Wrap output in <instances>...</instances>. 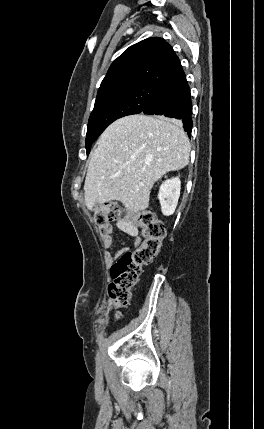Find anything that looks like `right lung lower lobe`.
<instances>
[{
	"label": "right lung lower lobe",
	"mask_w": 264,
	"mask_h": 429,
	"mask_svg": "<svg viewBox=\"0 0 264 429\" xmlns=\"http://www.w3.org/2000/svg\"><path fill=\"white\" fill-rule=\"evenodd\" d=\"M142 113L178 119L188 136H191L192 102L190 88L181 66L158 87Z\"/></svg>",
	"instance_id": "98d812e1"
}]
</instances>
